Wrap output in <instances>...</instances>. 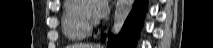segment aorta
<instances>
[{
  "label": "aorta",
  "mask_w": 213,
  "mask_h": 48,
  "mask_svg": "<svg viewBox=\"0 0 213 48\" xmlns=\"http://www.w3.org/2000/svg\"><path fill=\"white\" fill-rule=\"evenodd\" d=\"M133 2L134 0H117L112 27L113 35L120 33L128 15L131 12Z\"/></svg>",
  "instance_id": "762f6f07"
}]
</instances>
